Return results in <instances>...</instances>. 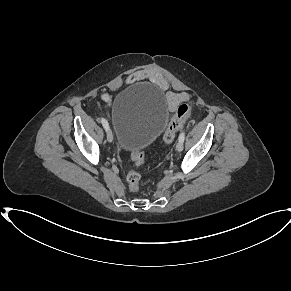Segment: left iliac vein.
Instances as JSON below:
<instances>
[{"instance_id": "1", "label": "left iliac vein", "mask_w": 291, "mask_h": 291, "mask_svg": "<svg viewBox=\"0 0 291 291\" xmlns=\"http://www.w3.org/2000/svg\"><path fill=\"white\" fill-rule=\"evenodd\" d=\"M176 150L179 152L183 150V141H178V143L176 144Z\"/></svg>"}]
</instances>
